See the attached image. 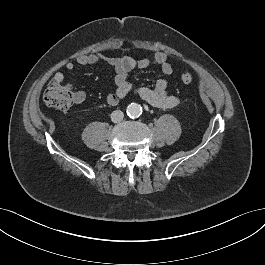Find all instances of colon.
<instances>
[{"label": "colon", "instance_id": "5ec220e1", "mask_svg": "<svg viewBox=\"0 0 265 265\" xmlns=\"http://www.w3.org/2000/svg\"><path fill=\"white\" fill-rule=\"evenodd\" d=\"M180 79L185 84L194 81L193 75L188 71H184ZM43 100L53 110L66 111L74 104V93L69 85L53 78L45 89Z\"/></svg>", "mask_w": 265, "mask_h": 265}]
</instances>
